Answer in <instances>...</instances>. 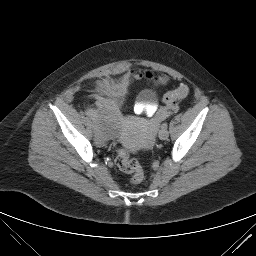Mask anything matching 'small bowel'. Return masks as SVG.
I'll return each mask as SVG.
<instances>
[{
  "mask_svg": "<svg viewBox=\"0 0 256 256\" xmlns=\"http://www.w3.org/2000/svg\"><path fill=\"white\" fill-rule=\"evenodd\" d=\"M146 78L155 86L164 85L168 82L167 76H153L151 73L129 72L115 80H105L98 84L95 100L114 112H118L129 92L130 85L134 79ZM174 111V107H163L158 110L151 128L167 118Z\"/></svg>",
  "mask_w": 256,
  "mask_h": 256,
  "instance_id": "1",
  "label": "small bowel"
}]
</instances>
